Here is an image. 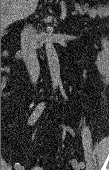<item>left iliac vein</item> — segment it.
Instances as JSON below:
<instances>
[{
    "label": "left iliac vein",
    "mask_w": 109,
    "mask_h": 170,
    "mask_svg": "<svg viewBox=\"0 0 109 170\" xmlns=\"http://www.w3.org/2000/svg\"><path fill=\"white\" fill-rule=\"evenodd\" d=\"M72 166L75 170H81L83 168L77 160L72 161Z\"/></svg>",
    "instance_id": "left-iliac-vein-1"
}]
</instances>
